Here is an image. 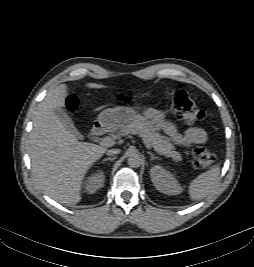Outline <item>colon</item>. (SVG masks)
Masks as SVG:
<instances>
[{"instance_id": "1", "label": "colon", "mask_w": 254, "mask_h": 267, "mask_svg": "<svg viewBox=\"0 0 254 267\" xmlns=\"http://www.w3.org/2000/svg\"><path fill=\"white\" fill-rule=\"evenodd\" d=\"M170 107L173 113L187 122H196L204 118V111L183 90H171L169 93ZM66 106L74 111L78 101L74 96H69ZM215 161V154L208 148L196 147L192 152V164L196 169H204Z\"/></svg>"}]
</instances>
